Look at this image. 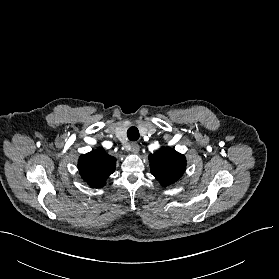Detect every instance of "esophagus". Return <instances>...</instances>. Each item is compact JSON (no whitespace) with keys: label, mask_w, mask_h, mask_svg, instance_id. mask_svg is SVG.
Wrapping results in <instances>:
<instances>
[{"label":"esophagus","mask_w":279,"mask_h":279,"mask_svg":"<svg viewBox=\"0 0 279 279\" xmlns=\"http://www.w3.org/2000/svg\"><path fill=\"white\" fill-rule=\"evenodd\" d=\"M131 151L134 153V154H138L139 151H140V145L137 143V142H132L131 145Z\"/></svg>","instance_id":"1"}]
</instances>
